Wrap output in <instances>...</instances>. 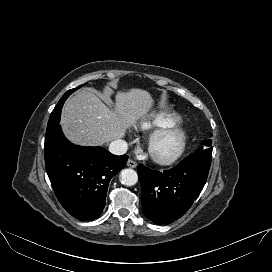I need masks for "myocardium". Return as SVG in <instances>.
<instances>
[{
    "instance_id": "myocardium-1",
    "label": "myocardium",
    "mask_w": 272,
    "mask_h": 272,
    "mask_svg": "<svg viewBox=\"0 0 272 272\" xmlns=\"http://www.w3.org/2000/svg\"><path fill=\"white\" fill-rule=\"evenodd\" d=\"M169 140L173 142V145L171 148L165 149L164 144ZM187 143V130L176 123L155 132L149 140L148 151L156 163L171 165L184 154Z\"/></svg>"
}]
</instances>
